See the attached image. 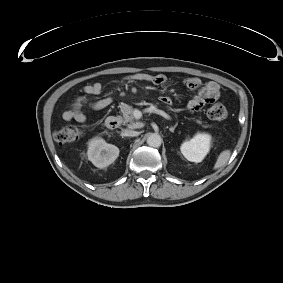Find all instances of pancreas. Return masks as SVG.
<instances>
[{"mask_svg":"<svg viewBox=\"0 0 283 283\" xmlns=\"http://www.w3.org/2000/svg\"><path fill=\"white\" fill-rule=\"evenodd\" d=\"M133 112L134 108L132 106L126 105L125 107H123V123L127 124V126L130 128H137L140 126V124L135 121Z\"/></svg>","mask_w":283,"mask_h":283,"instance_id":"1","label":"pancreas"}]
</instances>
